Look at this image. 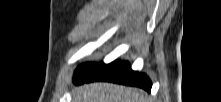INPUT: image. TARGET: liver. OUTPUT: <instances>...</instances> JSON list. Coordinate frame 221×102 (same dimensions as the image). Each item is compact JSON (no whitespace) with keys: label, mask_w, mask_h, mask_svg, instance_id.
<instances>
[{"label":"liver","mask_w":221,"mask_h":102,"mask_svg":"<svg viewBox=\"0 0 221 102\" xmlns=\"http://www.w3.org/2000/svg\"><path fill=\"white\" fill-rule=\"evenodd\" d=\"M73 102H146L142 92L112 83H91L74 90Z\"/></svg>","instance_id":"liver-1"}]
</instances>
